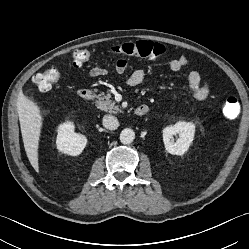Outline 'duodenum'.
Masks as SVG:
<instances>
[{"instance_id": "410a0bca", "label": "duodenum", "mask_w": 249, "mask_h": 249, "mask_svg": "<svg viewBox=\"0 0 249 249\" xmlns=\"http://www.w3.org/2000/svg\"><path fill=\"white\" fill-rule=\"evenodd\" d=\"M78 95L82 100L89 101L94 97V92L89 88H81L78 91ZM147 112L148 106L146 104H139L135 107L137 116H144Z\"/></svg>"}]
</instances>
